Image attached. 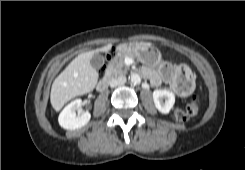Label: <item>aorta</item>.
Listing matches in <instances>:
<instances>
[{"instance_id": "obj_1", "label": "aorta", "mask_w": 245, "mask_h": 170, "mask_svg": "<svg viewBox=\"0 0 245 170\" xmlns=\"http://www.w3.org/2000/svg\"><path fill=\"white\" fill-rule=\"evenodd\" d=\"M130 81L132 84H139L141 82V77L139 74L133 73L130 76Z\"/></svg>"}]
</instances>
